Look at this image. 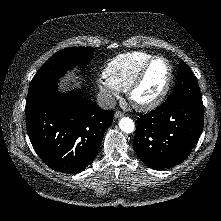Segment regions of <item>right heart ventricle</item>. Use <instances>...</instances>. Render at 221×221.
<instances>
[{
    "label": "right heart ventricle",
    "instance_id": "obj_1",
    "mask_svg": "<svg viewBox=\"0 0 221 221\" xmlns=\"http://www.w3.org/2000/svg\"><path fill=\"white\" fill-rule=\"evenodd\" d=\"M152 56L146 52L120 54L106 65L103 77L119 91H127L139 69Z\"/></svg>",
    "mask_w": 221,
    "mask_h": 221
}]
</instances>
